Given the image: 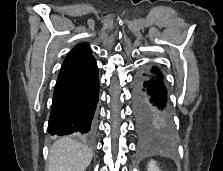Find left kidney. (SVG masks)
<instances>
[{
  "mask_svg": "<svg viewBox=\"0 0 223 171\" xmlns=\"http://www.w3.org/2000/svg\"><path fill=\"white\" fill-rule=\"evenodd\" d=\"M148 171H161L156 164V161L150 160L148 164Z\"/></svg>",
  "mask_w": 223,
  "mask_h": 171,
  "instance_id": "5707ae66",
  "label": "left kidney"
}]
</instances>
